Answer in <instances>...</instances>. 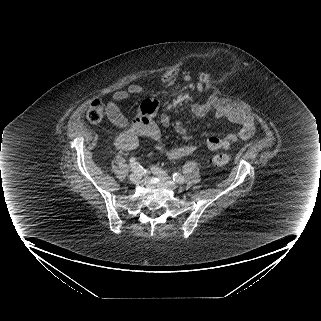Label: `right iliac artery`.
<instances>
[{
	"label": "right iliac artery",
	"instance_id": "right-iliac-artery-1",
	"mask_svg": "<svg viewBox=\"0 0 321 321\" xmlns=\"http://www.w3.org/2000/svg\"><path fill=\"white\" fill-rule=\"evenodd\" d=\"M130 165L134 172H140L142 167L135 161V158H130Z\"/></svg>",
	"mask_w": 321,
	"mask_h": 321
}]
</instances>
